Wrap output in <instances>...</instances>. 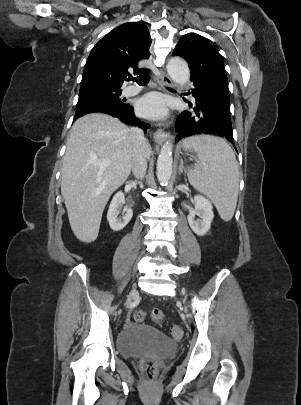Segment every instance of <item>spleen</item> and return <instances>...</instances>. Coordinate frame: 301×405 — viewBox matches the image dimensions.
Returning a JSON list of instances; mask_svg holds the SVG:
<instances>
[{
    "label": "spleen",
    "mask_w": 301,
    "mask_h": 405,
    "mask_svg": "<svg viewBox=\"0 0 301 405\" xmlns=\"http://www.w3.org/2000/svg\"><path fill=\"white\" fill-rule=\"evenodd\" d=\"M184 148H193L198 161L188 173L191 185L216 206L220 217H233L239 188V169L235 154L222 138L199 135L183 140Z\"/></svg>",
    "instance_id": "obj_1"
}]
</instances>
